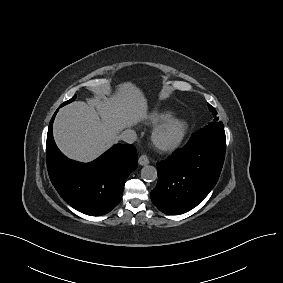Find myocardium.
Segmentation results:
<instances>
[{
  "mask_svg": "<svg viewBox=\"0 0 283 283\" xmlns=\"http://www.w3.org/2000/svg\"><path fill=\"white\" fill-rule=\"evenodd\" d=\"M173 131V136L167 140H163L162 136ZM188 133V123L178 117H169L159 123L152 131L151 141L154 147L163 153L173 152L178 149L185 140Z\"/></svg>",
  "mask_w": 283,
  "mask_h": 283,
  "instance_id": "obj_1",
  "label": "myocardium"
}]
</instances>
